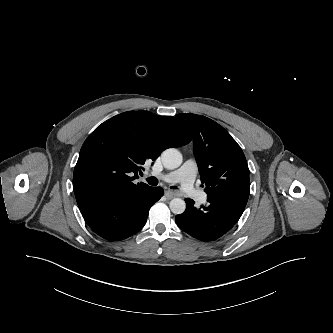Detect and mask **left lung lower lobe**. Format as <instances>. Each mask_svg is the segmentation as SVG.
<instances>
[{"mask_svg": "<svg viewBox=\"0 0 333 333\" xmlns=\"http://www.w3.org/2000/svg\"><path fill=\"white\" fill-rule=\"evenodd\" d=\"M249 188V177L224 182L207 192V205L200 208L194 206L193 200L186 198V210L175 217V222L196 239H218L241 217L249 197Z\"/></svg>", "mask_w": 333, "mask_h": 333, "instance_id": "0a47b994", "label": "left lung lower lobe"}]
</instances>
